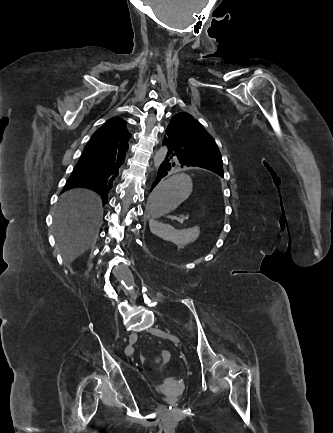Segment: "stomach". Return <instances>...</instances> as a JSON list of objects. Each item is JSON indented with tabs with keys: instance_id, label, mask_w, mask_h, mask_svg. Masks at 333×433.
<instances>
[{
	"instance_id": "0dacf381",
	"label": "stomach",
	"mask_w": 333,
	"mask_h": 433,
	"mask_svg": "<svg viewBox=\"0 0 333 433\" xmlns=\"http://www.w3.org/2000/svg\"><path fill=\"white\" fill-rule=\"evenodd\" d=\"M192 199V181L185 174L162 176L161 183H154L149 200L145 204L148 220H163L164 215H173L179 204Z\"/></svg>"
}]
</instances>
